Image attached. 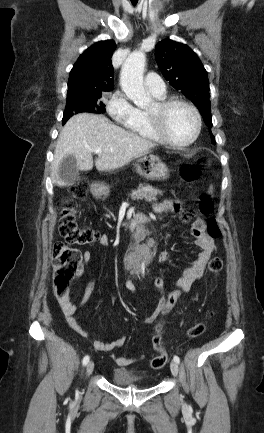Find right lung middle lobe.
Wrapping results in <instances>:
<instances>
[{
    "mask_svg": "<svg viewBox=\"0 0 264 433\" xmlns=\"http://www.w3.org/2000/svg\"><path fill=\"white\" fill-rule=\"evenodd\" d=\"M102 93L103 92H98L89 95L68 97L62 119L63 124H65L71 116L80 112L104 113L106 109L101 100Z\"/></svg>",
    "mask_w": 264,
    "mask_h": 433,
    "instance_id": "1",
    "label": "right lung middle lobe"
}]
</instances>
